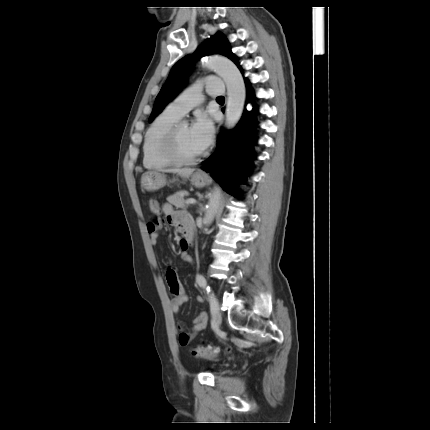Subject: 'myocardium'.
<instances>
[{
	"instance_id": "1",
	"label": "myocardium",
	"mask_w": 430,
	"mask_h": 430,
	"mask_svg": "<svg viewBox=\"0 0 430 430\" xmlns=\"http://www.w3.org/2000/svg\"><path fill=\"white\" fill-rule=\"evenodd\" d=\"M183 125L182 123H176L164 136L161 144L163 156L173 165H191L198 162L203 156V152L193 157H185L180 153L178 148V132Z\"/></svg>"
}]
</instances>
